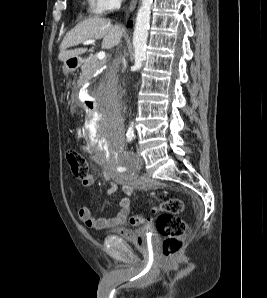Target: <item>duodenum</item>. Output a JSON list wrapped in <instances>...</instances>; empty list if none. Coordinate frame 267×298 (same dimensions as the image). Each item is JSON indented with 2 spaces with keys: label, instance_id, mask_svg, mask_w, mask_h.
<instances>
[{
  "label": "duodenum",
  "instance_id": "1",
  "mask_svg": "<svg viewBox=\"0 0 267 298\" xmlns=\"http://www.w3.org/2000/svg\"><path fill=\"white\" fill-rule=\"evenodd\" d=\"M89 97L90 100H87V98H82V103L85 105L86 115H96L94 105H96V102H98V93H90Z\"/></svg>",
  "mask_w": 267,
  "mask_h": 298
}]
</instances>
